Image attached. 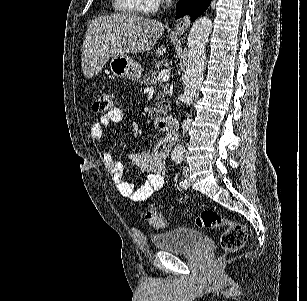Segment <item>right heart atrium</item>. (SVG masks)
<instances>
[{"mask_svg":"<svg viewBox=\"0 0 307 301\" xmlns=\"http://www.w3.org/2000/svg\"><path fill=\"white\" fill-rule=\"evenodd\" d=\"M147 3V4H146ZM161 0H146L143 4H137V11H157V7H161Z\"/></svg>","mask_w":307,"mask_h":301,"instance_id":"d8ad5b80","label":"right heart atrium"}]
</instances>
